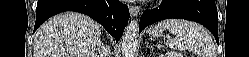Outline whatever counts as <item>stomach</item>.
I'll use <instances>...</instances> for the list:
<instances>
[{
	"mask_svg": "<svg viewBox=\"0 0 249 57\" xmlns=\"http://www.w3.org/2000/svg\"><path fill=\"white\" fill-rule=\"evenodd\" d=\"M165 29L157 28V27H151L148 31L149 35L152 37H161L163 36V32Z\"/></svg>",
	"mask_w": 249,
	"mask_h": 57,
	"instance_id": "0dacf381",
	"label": "stomach"
}]
</instances>
